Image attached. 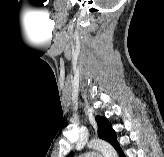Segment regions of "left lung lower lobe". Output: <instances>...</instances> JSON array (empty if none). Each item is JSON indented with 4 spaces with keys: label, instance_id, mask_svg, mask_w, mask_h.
<instances>
[{
    "label": "left lung lower lobe",
    "instance_id": "0a47b994",
    "mask_svg": "<svg viewBox=\"0 0 164 157\" xmlns=\"http://www.w3.org/2000/svg\"><path fill=\"white\" fill-rule=\"evenodd\" d=\"M114 147L119 152V155H120L119 157H126L125 154L122 152L118 142L114 145Z\"/></svg>",
    "mask_w": 164,
    "mask_h": 157
}]
</instances>
